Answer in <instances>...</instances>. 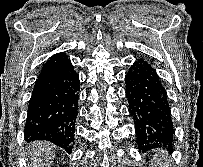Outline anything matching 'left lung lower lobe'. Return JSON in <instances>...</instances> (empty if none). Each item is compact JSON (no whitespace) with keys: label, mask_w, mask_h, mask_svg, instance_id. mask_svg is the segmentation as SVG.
<instances>
[{"label":"left lung lower lobe","mask_w":203,"mask_h":167,"mask_svg":"<svg viewBox=\"0 0 203 167\" xmlns=\"http://www.w3.org/2000/svg\"><path fill=\"white\" fill-rule=\"evenodd\" d=\"M125 83L139 149L148 151L162 146L171 149L174 137L171 111L166 91L154 68L137 59L129 68Z\"/></svg>","instance_id":"0a47b994"}]
</instances>
